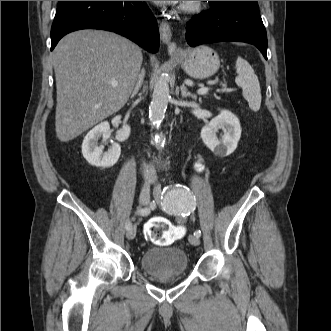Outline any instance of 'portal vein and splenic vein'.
Listing matches in <instances>:
<instances>
[{
    "mask_svg": "<svg viewBox=\"0 0 331 331\" xmlns=\"http://www.w3.org/2000/svg\"><path fill=\"white\" fill-rule=\"evenodd\" d=\"M112 86L113 87H116L117 85H118V83L116 82V81H113L112 83ZM208 91H209V88H201V89H199L198 91H197V93L199 94V95H204V94H207L208 93Z\"/></svg>",
    "mask_w": 331,
    "mask_h": 331,
    "instance_id": "1",
    "label": "portal vein and splenic vein"
}]
</instances>
